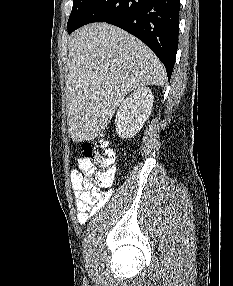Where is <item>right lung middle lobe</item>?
<instances>
[{
  "instance_id": "right-lung-middle-lobe-1",
  "label": "right lung middle lobe",
  "mask_w": 233,
  "mask_h": 286,
  "mask_svg": "<svg viewBox=\"0 0 233 286\" xmlns=\"http://www.w3.org/2000/svg\"><path fill=\"white\" fill-rule=\"evenodd\" d=\"M90 1L91 0H73L72 12L67 23V29L76 23Z\"/></svg>"
}]
</instances>
